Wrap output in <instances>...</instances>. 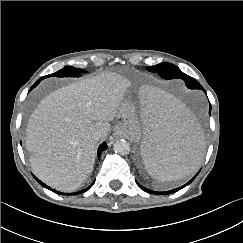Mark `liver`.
<instances>
[{"label": "liver", "instance_id": "obj_1", "mask_svg": "<svg viewBox=\"0 0 243 243\" xmlns=\"http://www.w3.org/2000/svg\"><path fill=\"white\" fill-rule=\"evenodd\" d=\"M130 82L106 72L62 87L40 101L26 129L33 173L50 187L73 192L93 170L97 141L105 139Z\"/></svg>", "mask_w": 243, "mask_h": 243}]
</instances>
